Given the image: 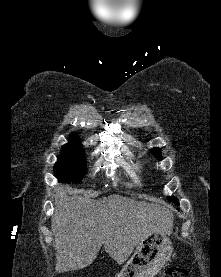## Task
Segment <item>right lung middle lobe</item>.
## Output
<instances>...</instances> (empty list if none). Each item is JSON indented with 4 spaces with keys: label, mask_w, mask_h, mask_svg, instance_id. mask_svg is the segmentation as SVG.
<instances>
[{
    "label": "right lung middle lobe",
    "mask_w": 221,
    "mask_h": 277,
    "mask_svg": "<svg viewBox=\"0 0 221 277\" xmlns=\"http://www.w3.org/2000/svg\"><path fill=\"white\" fill-rule=\"evenodd\" d=\"M61 152L54 166L55 176L61 182H80L86 169L82 145L78 141H70Z\"/></svg>",
    "instance_id": "dd1d6c3e"
}]
</instances>
